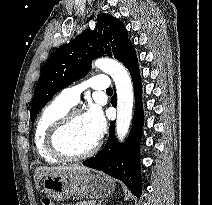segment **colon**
Masks as SVG:
<instances>
[{"label":"colon","instance_id":"1","mask_svg":"<svg viewBox=\"0 0 212 205\" xmlns=\"http://www.w3.org/2000/svg\"><path fill=\"white\" fill-rule=\"evenodd\" d=\"M42 205H54V203L50 199L44 198L42 200Z\"/></svg>","mask_w":212,"mask_h":205}]
</instances>
